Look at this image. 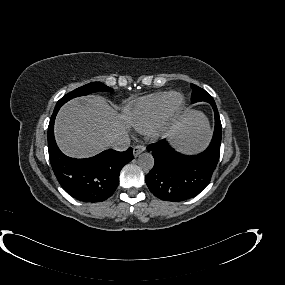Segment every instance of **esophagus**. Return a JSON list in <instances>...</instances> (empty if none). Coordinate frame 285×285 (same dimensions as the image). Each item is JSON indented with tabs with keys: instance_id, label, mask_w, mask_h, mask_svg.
I'll use <instances>...</instances> for the list:
<instances>
[{
	"instance_id": "obj_1",
	"label": "esophagus",
	"mask_w": 285,
	"mask_h": 285,
	"mask_svg": "<svg viewBox=\"0 0 285 285\" xmlns=\"http://www.w3.org/2000/svg\"><path fill=\"white\" fill-rule=\"evenodd\" d=\"M143 151H145V146H143V145H136L133 148V154H134L135 157H137Z\"/></svg>"
}]
</instances>
